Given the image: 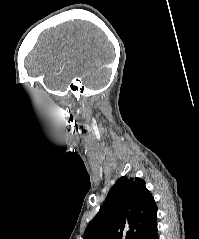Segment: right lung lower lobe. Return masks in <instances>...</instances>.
Segmentation results:
<instances>
[{"mask_svg":"<svg viewBox=\"0 0 199 239\" xmlns=\"http://www.w3.org/2000/svg\"><path fill=\"white\" fill-rule=\"evenodd\" d=\"M136 239H159L157 235L156 218L151 221L137 236Z\"/></svg>","mask_w":199,"mask_h":239,"instance_id":"right-lung-lower-lobe-1","label":"right lung lower lobe"}]
</instances>
